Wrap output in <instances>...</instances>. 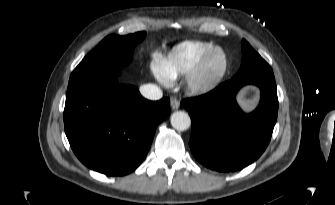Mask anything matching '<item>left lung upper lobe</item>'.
<instances>
[{
  "mask_svg": "<svg viewBox=\"0 0 335 205\" xmlns=\"http://www.w3.org/2000/svg\"><path fill=\"white\" fill-rule=\"evenodd\" d=\"M249 77H261L275 80L270 65L250 46V44L242 40V64L233 77L234 79H244Z\"/></svg>",
  "mask_w": 335,
  "mask_h": 205,
  "instance_id": "obj_1",
  "label": "left lung upper lobe"
}]
</instances>
